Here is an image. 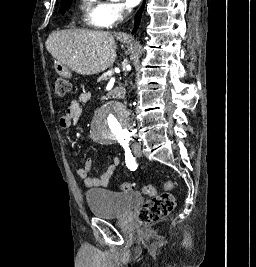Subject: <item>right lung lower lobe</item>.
Here are the masks:
<instances>
[{
	"label": "right lung lower lobe",
	"instance_id": "obj_1",
	"mask_svg": "<svg viewBox=\"0 0 256 267\" xmlns=\"http://www.w3.org/2000/svg\"><path fill=\"white\" fill-rule=\"evenodd\" d=\"M144 4H145V0L143 2V5L141 7V9L138 11V13L136 14L135 16V28L133 29L132 33L134 34L139 26V23H140V19H141V13L144 9Z\"/></svg>",
	"mask_w": 256,
	"mask_h": 267
}]
</instances>
